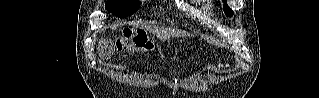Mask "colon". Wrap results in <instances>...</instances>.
<instances>
[{"mask_svg": "<svg viewBox=\"0 0 319 98\" xmlns=\"http://www.w3.org/2000/svg\"><path fill=\"white\" fill-rule=\"evenodd\" d=\"M118 50H133L144 55L154 51V45L144 30L124 29L121 36L116 39Z\"/></svg>", "mask_w": 319, "mask_h": 98, "instance_id": "colon-1", "label": "colon"}]
</instances>
